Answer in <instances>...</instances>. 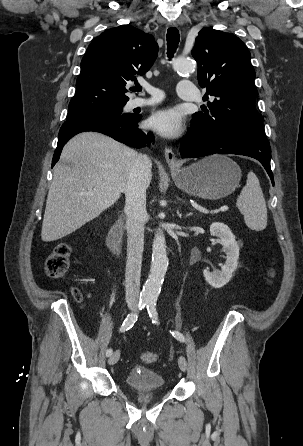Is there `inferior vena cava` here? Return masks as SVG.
<instances>
[{
    "mask_svg": "<svg viewBox=\"0 0 303 446\" xmlns=\"http://www.w3.org/2000/svg\"><path fill=\"white\" fill-rule=\"evenodd\" d=\"M151 160L138 155L130 171L124 193L127 229V261L125 272L126 301L137 302L140 292L144 224L146 219V189L151 175Z\"/></svg>",
    "mask_w": 303,
    "mask_h": 446,
    "instance_id": "1",
    "label": "inferior vena cava"
}]
</instances>
